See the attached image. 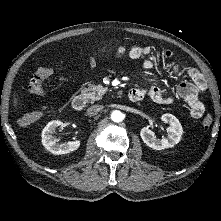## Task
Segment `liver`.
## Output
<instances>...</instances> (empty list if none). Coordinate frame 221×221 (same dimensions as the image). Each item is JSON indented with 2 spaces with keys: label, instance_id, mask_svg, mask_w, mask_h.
<instances>
[{
  "label": "liver",
  "instance_id": "1",
  "mask_svg": "<svg viewBox=\"0 0 221 221\" xmlns=\"http://www.w3.org/2000/svg\"><path fill=\"white\" fill-rule=\"evenodd\" d=\"M15 107H17V98H14Z\"/></svg>",
  "mask_w": 221,
  "mask_h": 221
}]
</instances>
